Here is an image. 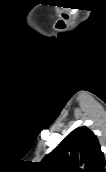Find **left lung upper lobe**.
Instances as JSON below:
<instances>
[{"label": "left lung upper lobe", "instance_id": "5c2ea615", "mask_svg": "<svg viewBox=\"0 0 106 172\" xmlns=\"http://www.w3.org/2000/svg\"><path fill=\"white\" fill-rule=\"evenodd\" d=\"M44 172H105V160L96 135L78 127L40 163Z\"/></svg>", "mask_w": 106, "mask_h": 172}]
</instances>
